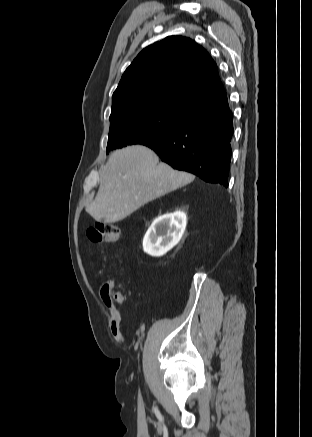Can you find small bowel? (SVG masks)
Returning <instances> with one entry per match:
<instances>
[{
	"mask_svg": "<svg viewBox=\"0 0 312 437\" xmlns=\"http://www.w3.org/2000/svg\"><path fill=\"white\" fill-rule=\"evenodd\" d=\"M109 285V282L102 284V286L100 287V295L102 297L104 306L106 307L110 315V332L117 342L125 343V338L122 335L120 328L121 314L114 301L108 295Z\"/></svg>",
	"mask_w": 312,
	"mask_h": 437,
	"instance_id": "small-bowel-1",
	"label": "small bowel"
}]
</instances>
